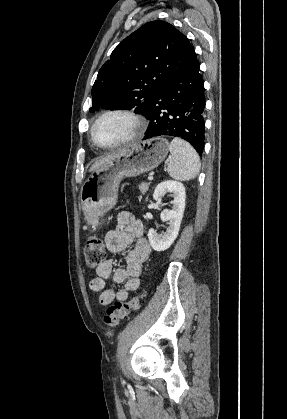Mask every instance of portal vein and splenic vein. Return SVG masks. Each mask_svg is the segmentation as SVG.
I'll return each instance as SVG.
<instances>
[{
  "mask_svg": "<svg viewBox=\"0 0 287 419\" xmlns=\"http://www.w3.org/2000/svg\"><path fill=\"white\" fill-rule=\"evenodd\" d=\"M148 180H149V181L153 180V176H149V177H148Z\"/></svg>",
  "mask_w": 287,
  "mask_h": 419,
  "instance_id": "obj_1",
  "label": "portal vein and splenic vein"
}]
</instances>
